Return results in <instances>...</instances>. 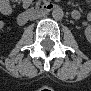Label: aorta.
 Wrapping results in <instances>:
<instances>
[{"mask_svg":"<svg viewBox=\"0 0 91 91\" xmlns=\"http://www.w3.org/2000/svg\"><path fill=\"white\" fill-rule=\"evenodd\" d=\"M52 16L55 20H61L64 16V12L61 8H55L52 11Z\"/></svg>","mask_w":91,"mask_h":91,"instance_id":"obj_1","label":"aorta"}]
</instances>
